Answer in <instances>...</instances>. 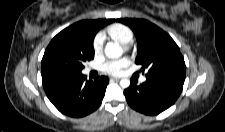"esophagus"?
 <instances>
[{"label":"esophagus","instance_id":"esophagus-1","mask_svg":"<svg viewBox=\"0 0 225 132\" xmlns=\"http://www.w3.org/2000/svg\"><path fill=\"white\" fill-rule=\"evenodd\" d=\"M119 80H120V78H115V77L110 78V81H119Z\"/></svg>","mask_w":225,"mask_h":132}]
</instances>
